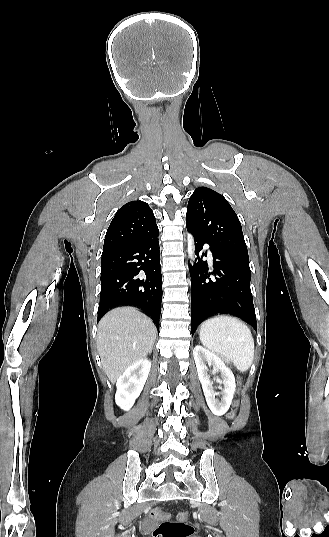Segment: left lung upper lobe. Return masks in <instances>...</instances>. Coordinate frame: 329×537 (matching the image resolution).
I'll return each instance as SVG.
<instances>
[{
    "label": "left lung upper lobe",
    "instance_id": "5c2ea615",
    "mask_svg": "<svg viewBox=\"0 0 329 537\" xmlns=\"http://www.w3.org/2000/svg\"><path fill=\"white\" fill-rule=\"evenodd\" d=\"M186 225L212 247L249 261L239 219L221 194L198 187L188 202Z\"/></svg>",
    "mask_w": 329,
    "mask_h": 537
}]
</instances>
